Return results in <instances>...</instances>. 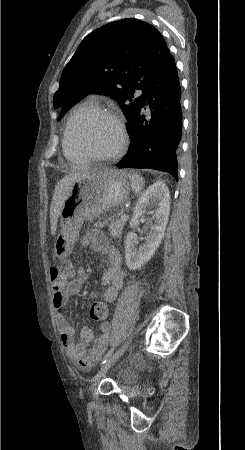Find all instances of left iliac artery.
I'll return each instance as SVG.
<instances>
[{
    "label": "left iliac artery",
    "mask_w": 245,
    "mask_h": 450,
    "mask_svg": "<svg viewBox=\"0 0 245 450\" xmlns=\"http://www.w3.org/2000/svg\"><path fill=\"white\" fill-rule=\"evenodd\" d=\"M113 351H114V348H112L111 350H109V351L107 352V354L104 356V358H103L101 364H104V363L107 361V359L112 355Z\"/></svg>",
    "instance_id": "left-iliac-artery-1"
}]
</instances>
